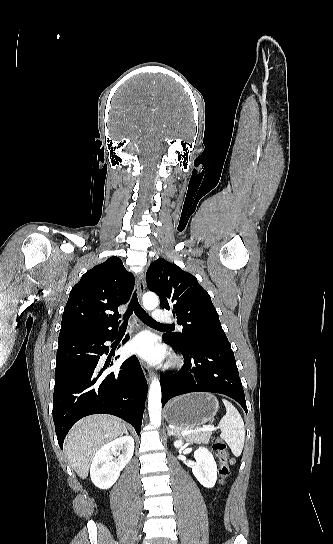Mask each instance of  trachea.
<instances>
[{
	"mask_svg": "<svg viewBox=\"0 0 333 544\" xmlns=\"http://www.w3.org/2000/svg\"><path fill=\"white\" fill-rule=\"evenodd\" d=\"M136 314V316L142 320L144 323L146 324H151V325H156V326H161V327H167V328H171L172 326L171 325H168V324H161L159 322H156L154 319H152L145 311L144 309L140 306L139 302H138V298H137V293L136 291L133 293V296H132V299L128 305V308L126 310V312L124 313V316H123V324L121 326V329H126L127 327V323H128V319L130 318V316L132 315V313Z\"/></svg>",
	"mask_w": 333,
	"mask_h": 544,
	"instance_id": "3493384b",
	"label": "trachea"
}]
</instances>
